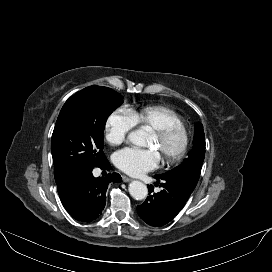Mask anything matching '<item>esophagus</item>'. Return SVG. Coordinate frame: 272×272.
I'll return each instance as SVG.
<instances>
[{"label": "esophagus", "instance_id": "obj_1", "mask_svg": "<svg viewBox=\"0 0 272 272\" xmlns=\"http://www.w3.org/2000/svg\"><path fill=\"white\" fill-rule=\"evenodd\" d=\"M123 182H130L132 179L127 176H122Z\"/></svg>", "mask_w": 272, "mask_h": 272}]
</instances>
